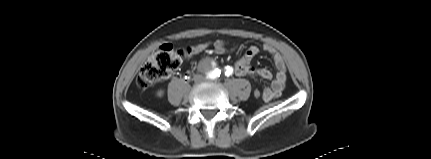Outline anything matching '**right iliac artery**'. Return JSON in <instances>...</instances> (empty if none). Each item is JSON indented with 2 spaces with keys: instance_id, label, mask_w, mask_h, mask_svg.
I'll return each instance as SVG.
<instances>
[{
  "instance_id": "1",
  "label": "right iliac artery",
  "mask_w": 431,
  "mask_h": 159,
  "mask_svg": "<svg viewBox=\"0 0 431 159\" xmlns=\"http://www.w3.org/2000/svg\"><path fill=\"white\" fill-rule=\"evenodd\" d=\"M213 73L219 75L220 74V70L216 69Z\"/></svg>"
}]
</instances>
